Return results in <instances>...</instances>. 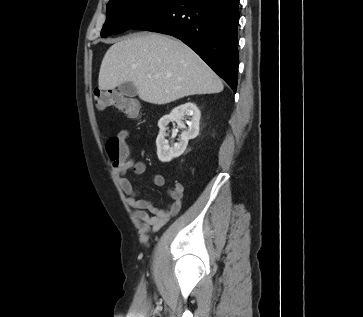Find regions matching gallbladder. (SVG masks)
I'll return each instance as SVG.
<instances>
[{
	"label": "gallbladder",
	"mask_w": 363,
	"mask_h": 317,
	"mask_svg": "<svg viewBox=\"0 0 363 317\" xmlns=\"http://www.w3.org/2000/svg\"><path fill=\"white\" fill-rule=\"evenodd\" d=\"M118 90L121 94L127 96V97H135L137 95V89L133 82H124L121 85H119Z\"/></svg>",
	"instance_id": "bac80fb5"
}]
</instances>
